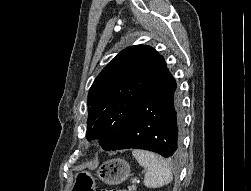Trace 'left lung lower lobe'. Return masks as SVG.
Instances as JSON below:
<instances>
[{"label":"left lung lower lobe","mask_w":251,"mask_h":191,"mask_svg":"<svg viewBox=\"0 0 251 191\" xmlns=\"http://www.w3.org/2000/svg\"><path fill=\"white\" fill-rule=\"evenodd\" d=\"M176 88L166 68L138 102L109 151L135 148L163 157L177 156L181 150V110Z\"/></svg>","instance_id":"left-lung-lower-lobe-1"}]
</instances>
